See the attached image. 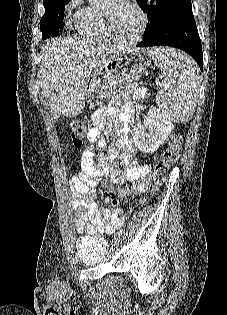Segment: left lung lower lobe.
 I'll use <instances>...</instances> for the list:
<instances>
[{
	"instance_id": "0a47b994",
	"label": "left lung lower lobe",
	"mask_w": 227,
	"mask_h": 315,
	"mask_svg": "<svg viewBox=\"0 0 227 315\" xmlns=\"http://www.w3.org/2000/svg\"><path fill=\"white\" fill-rule=\"evenodd\" d=\"M171 46L190 54L203 69L202 47L192 10L175 14L145 33L138 47Z\"/></svg>"
}]
</instances>
